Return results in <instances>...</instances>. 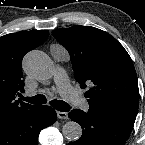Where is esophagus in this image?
Returning <instances> with one entry per match:
<instances>
[{
	"mask_svg": "<svg viewBox=\"0 0 145 145\" xmlns=\"http://www.w3.org/2000/svg\"><path fill=\"white\" fill-rule=\"evenodd\" d=\"M57 117H58L59 119H68V114H67V112L58 111V112H57Z\"/></svg>",
	"mask_w": 145,
	"mask_h": 145,
	"instance_id": "34e87169",
	"label": "esophagus"
}]
</instances>
